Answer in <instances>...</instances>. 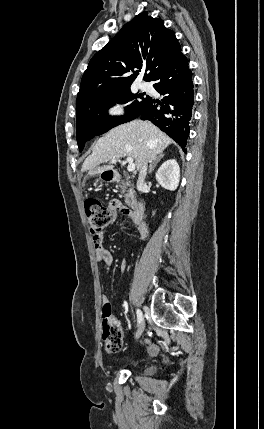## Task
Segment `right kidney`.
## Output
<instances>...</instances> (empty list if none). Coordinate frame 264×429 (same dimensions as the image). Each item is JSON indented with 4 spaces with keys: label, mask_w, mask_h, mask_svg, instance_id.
<instances>
[{
    "label": "right kidney",
    "mask_w": 264,
    "mask_h": 429,
    "mask_svg": "<svg viewBox=\"0 0 264 429\" xmlns=\"http://www.w3.org/2000/svg\"><path fill=\"white\" fill-rule=\"evenodd\" d=\"M157 182L165 189L174 191L180 180V167L175 159L165 161L155 174Z\"/></svg>",
    "instance_id": "obj_1"
}]
</instances>
